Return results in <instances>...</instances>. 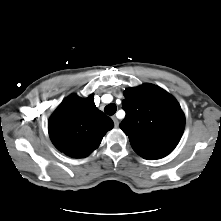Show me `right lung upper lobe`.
<instances>
[{
  "mask_svg": "<svg viewBox=\"0 0 221 221\" xmlns=\"http://www.w3.org/2000/svg\"><path fill=\"white\" fill-rule=\"evenodd\" d=\"M113 126L111 118L96 108L93 95L85 99L70 95L50 117L48 131L58 150L70 157L83 158L98 148Z\"/></svg>",
  "mask_w": 221,
  "mask_h": 221,
  "instance_id": "1",
  "label": "right lung upper lobe"
}]
</instances>
